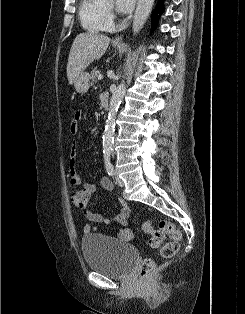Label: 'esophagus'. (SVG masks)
Masks as SVG:
<instances>
[{
  "label": "esophagus",
  "instance_id": "obj_1",
  "mask_svg": "<svg viewBox=\"0 0 245 314\" xmlns=\"http://www.w3.org/2000/svg\"><path fill=\"white\" fill-rule=\"evenodd\" d=\"M123 42V35L117 36L113 39V43L120 44Z\"/></svg>",
  "mask_w": 245,
  "mask_h": 314
}]
</instances>
